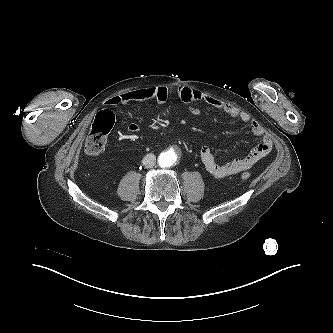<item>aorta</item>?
I'll return each instance as SVG.
<instances>
[{
    "instance_id": "1",
    "label": "aorta",
    "mask_w": 333,
    "mask_h": 333,
    "mask_svg": "<svg viewBox=\"0 0 333 333\" xmlns=\"http://www.w3.org/2000/svg\"><path fill=\"white\" fill-rule=\"evenodd\" d=\"M158 163L163 168H168L174 164V160L171 157V154L168 152H163L158 158Z\"/></svg>"
}]
</instances>
